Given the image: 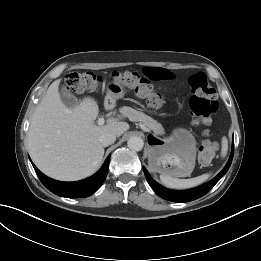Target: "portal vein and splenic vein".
<instances>
[{
  "instance_id": "portal-vein-and-splenic-vein-1",
  "label": "portal vein and splenic vein",
  "mask_w": 261,
  "mask_h": 261,
  "mask_svg": "<svg viewBox=\"0 0 261 261\" xmlns=\"http://www.w3.org/2000/svg\"><path fill=\"white\" fill-rule=\"evenodd\" d=\"M108 122H109V124L115 123L114 120H108ZM104 123H105L104 118H99V119H98V125H99V126L104 125Z\"/></svg>"
}]
</instances>
